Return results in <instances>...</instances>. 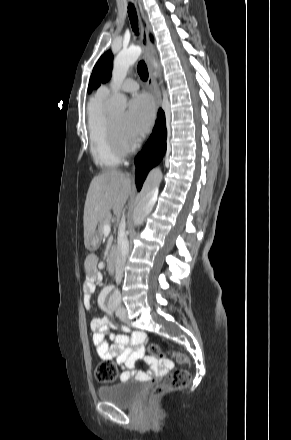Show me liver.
<instances>
[{"mask_svg":"<svg viewBox=\"0 0 291 440\" xmlns=\"http://www.w3.org/2000/svg\"><path fill=\"white\" fill-rule=\"evenodd\" d=\"M131 191L132 181L128 174L121 171L107 170L92 179L83 217L86 247L95 234L98 222L107 217L110 210H113L116 217L121 216Z\"/></svg>","mask_w":291,"mask_h":440,"instance_id":"1","label":"liver"}]
</instances>
